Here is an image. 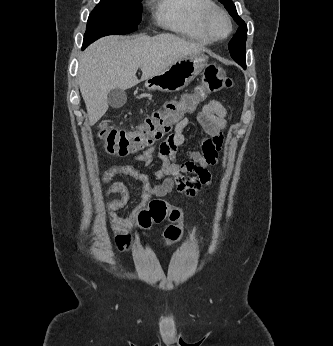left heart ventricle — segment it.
Returning a JSON list of instances; mask_svg holds the SVG:
<instances>
[{
  "mask_svg": "<svg viewBox=\"0 0 333 346\" xmlns=\"http://www.w3.org/2000/svg\"><path fill=\"white\" fill-rule=\"evenodd\" d=\"M211 26L216 36H223L228 29L226 20L218 14L213 16Z\"/></svg>",
  "mask_w": 333,
  "mask_h": 346,
  "instance_id": "b2bd125f",
  "label": "left heart ventricle"
}]
</instances>
